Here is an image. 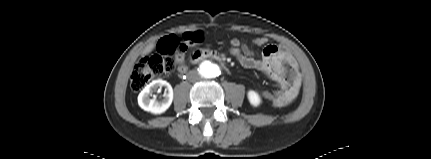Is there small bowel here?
Wrapping results in <instances>:
<instances>
[{"instance_id": "small-bowel-1", "label": "small bowel", "mask_w": 431, "mask_h": 159, "mask_svg": "<svg viewBox=\"0 0 431 159\" xmlns=\"http://www.w3.org/2000/svg\"><path fill=\"white\" fill-rule=\"evenodd\" d=\"M253 44L263 47L259 57H256L250 47L240 40L232 39L230 41V47L242 46L244 48L241 55L234 56L243 67L264 72L270 80L280 86V90L272 93V97L269 99L271 106L279 107L292 103L301 88V74L294 57L280 46L270 43L266 37L256 38L253 40ZM223 49L227 52L230 48L226 45ZM178 70L181 73L187 70L182 57L178 58Z\"/></svg>"}]
</instances>
